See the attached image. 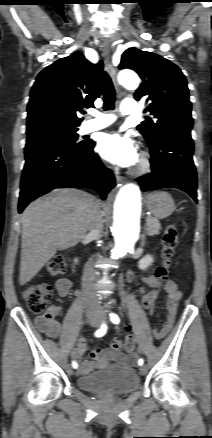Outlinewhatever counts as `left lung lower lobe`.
Returning <instances> with one entry per match:
<instances>
[{"mask_svg": "<svg viewBox=\"0 0 212 438\" xmlns=\"http://www.w3.org/2000/svg\"><path fill=\"white\" fill-rule=\"evenodd\" d=\"M148 145L152 172L137 179L141 190L177 188L197 202V173L192 159L194 143L191 134L161 135Z\"/></svg>", "mask_w": 212, "mask_h": 438, "instance_id": "obj_1", "label": "left lung lower lobe"}]
</instances>
